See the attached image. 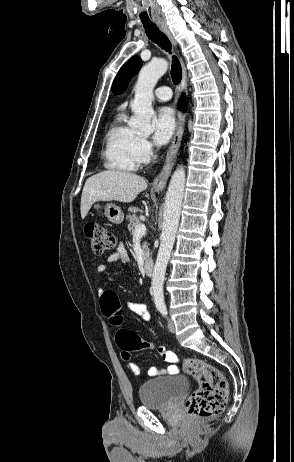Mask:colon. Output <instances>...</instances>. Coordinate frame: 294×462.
Here are the masks:
<instances>
[{
  "label": "colon",
  "instance_id": "5ec220e1",
  "mask_svg": "<svg viewBox=\"0 0 294 462\" xmlns=\"http://www.w3.org/2000/svg\"><path fill=\"white\" fill-rule=\"evenodd\" d=\"M85 235L93 253L97 256L104 255L114 247V235L97 223L86 224ZM100 306L103 315L111 324L115 326L122 324V309L114 291L107 290L102 293ZM116 342L127 356L133 351L158 349L127 329L118 330ZM183 369L199 384V388L186 401L187 414L192 418H203L221 413L226 406L228 396V384L222 372L213 365L197 358L185 359Z\"/></svg>",
  "mask_w": 294,
  "mask_h": 462
}]
</instances>
